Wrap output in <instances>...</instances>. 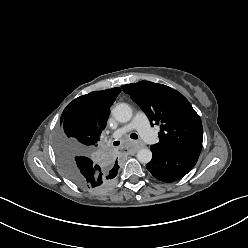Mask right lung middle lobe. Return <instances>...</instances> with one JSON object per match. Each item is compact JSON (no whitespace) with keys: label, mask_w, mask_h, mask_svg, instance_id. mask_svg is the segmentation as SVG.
I'll return each mask as SVG.
<instances>
[{"label":"right lung middle lobe","mask_w":248,"mask_h":248,"mask_svg":"<svg viewBox=\"0 0 248 248\" xmlns=\"http://www.w3.org/2000/svg\"><path fill=\"white\" fill-rule=\"evenodd\" d=\"M90 136L77 117L63 119L62 130L56 138L57 153L63 171L74 183L85 189L101 190L113 182L117 172L111 170L108 161L84 148L92 143ZM77 156L87 158L77 163L80 160Z\"/></svg>","instance_id":"1"}]
</instances>
